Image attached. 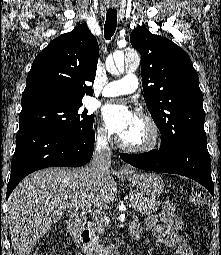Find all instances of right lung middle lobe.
I'll use <instances>...</instances> for the list:
<instances>
[{
    "instance_id": "1",
    "label": "right lung middle lobe",
    "mask_w": 221,
    "mask_h": 255,
    "mask_svg": "<svg viewBox=\"0 0 221 255\" xmlns=\"http://www.w3.org/2000/svg\"><path fill=\"white\" fill-rule=\"evenodd\" d=\"M82 108V102L42 104L22 109L20 126H37L72 136H84L93 131V115Z\"/></svg>"
}]
</instances>
